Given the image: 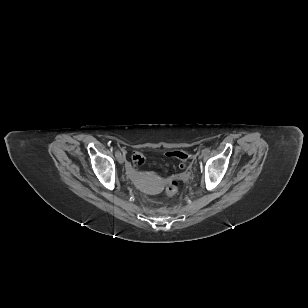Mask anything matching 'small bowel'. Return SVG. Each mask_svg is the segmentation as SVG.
Listing matches in <instances>:
<instances>
[{"mask_svg": "<svg viewBox=\"0 0 308 308\" xmlns=\"http://www.w3.org/2000/svg\"><path fill=\"white\" fill-rule=\"evenodd\" d=\"M128 170H129L131 173H133V172H134L133 167H132V165H131V164H129V165H128Z\"/></svg>", "mask_w": 308, "mask_h": 308, "instance_id": "c3829d8e", "label": "small bowel"}]
</instances>
